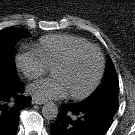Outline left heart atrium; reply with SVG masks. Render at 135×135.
<instances>
[{
	"instance_id": "obj_1",
	"label": "left heart atrium",
	"mask_w": 135,
	"mask_h": 135,
	"mask_svg": "<svg viewBox=\"0 0 135 135\" xmlns=\"http://www.w3.org/2000/svg\"><path fill=\"white\" fill-rule=\"evenodd\" d=\"M27 91L41 101L63 98L68 93L63 81L55 76L30 84Z\"/></svg>"
}]
</instances>
